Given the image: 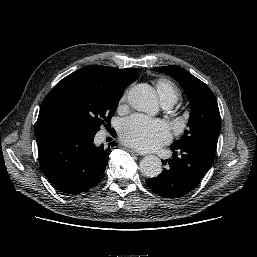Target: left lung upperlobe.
<instances>
[{
	"label": "left lung upper lobe",
	"mask_w": 257,
	"mask_h": 257,
	"mask_svg": "<svg viewBox=\"0 0 257 257\" xmlns=\"http://www.w3.org/2000/svg\"><path fill=\"white\" fill-rule=\"evenodd\" d=\"M154 70L177 80L187 92L191 104L188 129L172 146L199 144L216 150L221 122L218 104L210 88L178 66L156 67Z\"/></svg>",
	"instance_id": "5c2ea615"
}]
</instances>
